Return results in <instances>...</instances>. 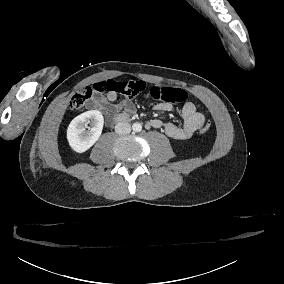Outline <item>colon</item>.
Wrapping results in <instances>:
<instances>
[{"instance_id": "obj_1", "label": "colon", "mask_w": 284, "mask_h": 284, "mask_svg": "<svg viewBox=\"0 0 284 284\" xmlns=\"http://www.w3.org/2000/svg\"><path fill=\"white\" fill-rule=\"evenodd\" d=\"M146 82L143 80L134 81H116V80H102L93 84L87 85L84 89L76 92L70 100V105L73 109H79L88 100L94 92L108 93L118 92L124 95L133 97L136 94L143 92L146 88ZM149 94L152 98L157 100H164L165 102H173L174 100L182 101L187 96V91L182 86L164 87L159 84H154L149 89ZM213 124L209 121L204 124L203 132L211 131ZM205 133V132H204Z\"/></svg>"}]
</instances>
